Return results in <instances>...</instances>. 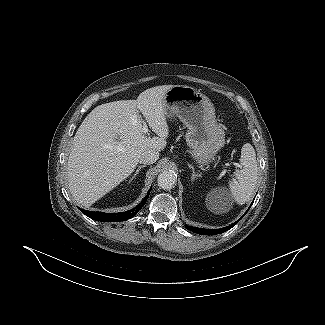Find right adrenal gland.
Returning a JSON list of instances; mask_svg holds the SVG:
<instances>
[{"mask_svg":"<svg viewBox=\"0 0 325 325\" xmlns=\"http://www.w3.org/2000/svg\"><path fill=\"white\" fill-rule=\"evenodd\" d=\"M144 167H145V165L138 166V168L135 171L134 175L132 176V178H130V181H132L135 178V176L139 173V171Z\"/></svg>","mask_w":325,"mask_h":325,"instance_id":"obj_1","label":"right adrenal gland"}]
</instances>
